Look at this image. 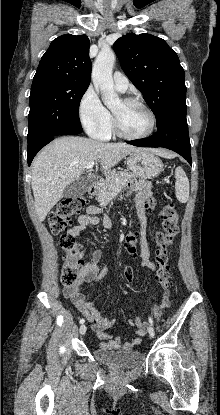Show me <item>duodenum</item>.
<instances>
[{
  "instance_id": "duodenum-1",
  "label": "duodenum",
  "mask_w": 220,
  "mask_h": 415,
  "mask_svg": "<svg viewBox=\"0 0 220 415\" xmlns=\"http://www.w3.org/2000/svg\"><path fill=\"white\" fill-rule=\"evenodd\" d=\"M96 191V184L94 181H90L87 187V192L92 195Z\"/></svg>"
}]
</instances>
